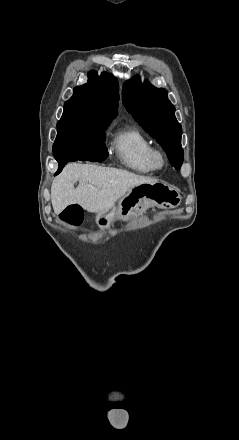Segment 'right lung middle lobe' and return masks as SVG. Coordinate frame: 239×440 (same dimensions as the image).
Listing matches in <instances>:
<instances>
[{
	"instance_id": "dd1d6c3e",
	"label": "right lung middle lobe",
	"mask_w": 239,
	"mask_h": 440,
	"mask_svg": "<svg viewBox=\"0 0 239 440\" xmlns=\"http://www.w3.org/2000/svg\"><path fill=\"white\" fill-rule=\"evenodd\" d=\"M111 121L103 117H82L63 113L57 123L58 134L53 145L54 154L86 145L105 146L104 131Z\"/></svg>"
}]
</instances>
